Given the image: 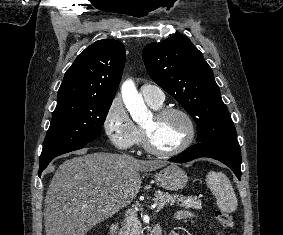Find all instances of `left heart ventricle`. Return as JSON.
I'll use <instances>...</instances> for the list:
<instances>
[{"instance_id": "left-heart-ventricle-1", "label": "left heart ventricle", "mask_w": 283, "mask_h": 235, "mask_svg": "<svg viewBox=\"0 0 283 235\" xmlns=\"http://www.w3.org/2000/svg\"><path fill=\"white\" fill-rule=\"evenodd\" d=\"M143 127L148 131L152 146L158 150H172L186 137L187 125L178 114H168L161 119L151 116Z\"/></svg>"}]
</instances>
